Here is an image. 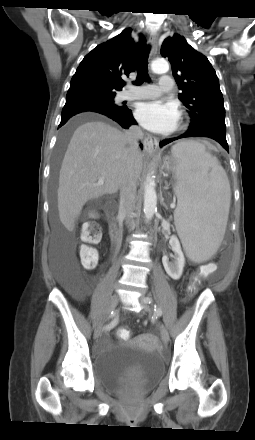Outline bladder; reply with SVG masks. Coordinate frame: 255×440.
I'll return each mask as SVG.
<instances>
[{"mask_svg":"<svg viewBox=\"0 0 255 440\" xmlns=\"http://www.w3.org/2000/svg\"><path fill=\"white\" fill-rule=\"evenodd\" d=\"M140 343L139 339H133L116 344L96 357V380L111 389L132 382L140 393L158 382L164 374V361L158 351L144 348Z\"/></svg>","mask_w":255,"mask_h":440,"instance_id":"31cf9c89","label":"bladder"}]
</instances>
